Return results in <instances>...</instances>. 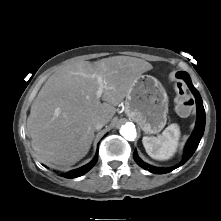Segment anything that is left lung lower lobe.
I'll return each instance as SVG.
<instances>
[{
    "instance_id": "0a47b994",
    "label": "left lung lower lobe",
    "mask_w": 221,
    "mask_h": 221,
    "mask_svg": "<svg viewBox=\"0 0 221 221\" xmlns=\"http://www.w3.org/2000/svg\"><path fill=\"white\" fill-rule=\"evenodd\" d=\"M176 77L179 79H183L187 83L188 87L190 88V90L192 91V93L194 94V96L196 98V106H197L196 126H195V129H194L191 137L189 138V140L185 146L184 157H183L181 163L174 166V167L159 168V167H154V166L148 165L138 157L136 150L134 151L133 157H134V160L137 162V164L139 166H141L142 168H144L145 170H149L150 172L155 173V174H165V173L171 172L174 169L183 165L186 161H188V159L193 155L196 148L198 147L199 142H200V140L203 136V133H204L205 110H204L202 99L200 97L199 92L193 86V84L190 80V77L186 72L180 71L176 74Z\"/></svg>"
}]
</instances>
